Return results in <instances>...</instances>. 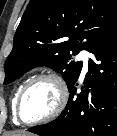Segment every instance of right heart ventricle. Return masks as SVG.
I'll return each instance as SVG.
<instances>
[{"instance_id":"e07e8e85","label":"right heart ventricle","mask_w":117,"mask_h":136,"mask_svg":"<svg viewBox=\"0 0 117 136\" xmlns=\"http://www.w3.org/2000/svg\"><path fill=\"white\" fill-rule=\"evenodd\" d=\"M26 84V82H22L18 87L17 89L15 90L14 92V95H13V98H12V110H13V120L15 123H17V119L15 117V106H16V101H17V97L21 91V89L23 88V86Z\"/></svg>"}]
</instances>
